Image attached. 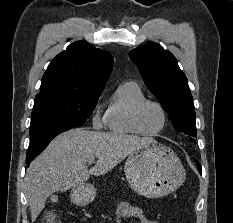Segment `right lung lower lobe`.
<instances>
[{"instance_id": "obj_1", "label": "right lung lower lobe", "mask_w": 233, "mask_h": 223, "mask_svg": "<svg viewBox=\"0 0 233 223\" xmlns=\"http://www.w3.org/2000/svg\"><path fill=\"white\" fill-rule=\"evenodd\" d=\"M38 154H33L30 156H26V160H27V166H29L30 162L37 156Z\"/></svg>"}]
</instances>
